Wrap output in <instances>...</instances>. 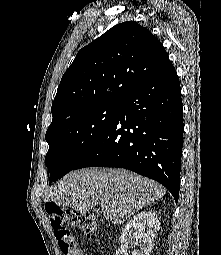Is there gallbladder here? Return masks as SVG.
<instances>
[{"instance_id":"bac80fb5","label":"gallbladder","mask_w":221,"mask_h":255,"mask_svg":"<svg viewBox=\"0 0 221 255\" xmlns=\"http://www.w3.org/2000/svg\"><path fill=\"white\" fill-rule=\"evenodd\" d=\"M93 213H94L95 215H100V214H101V211H100L99 209H94V210H93Z\"/></svg>"}]
</instances>
